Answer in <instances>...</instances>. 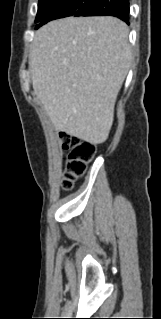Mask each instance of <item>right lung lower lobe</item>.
Masks as SVG:
<instances>
[{"instance_id": "98d812e1", "label": "right lung lower lobe", "mask_w": 161, "mask_h": 319, "mask_svg": "<svg viewBox=\"0 0 161 319\" xmlns=\"http://www.w3.org/2000/svg\"><path fill=\"white\" fill-rule=\"evenodd\" d=\"M114 16L129 24V0H95L81 16Z\"/></svg>"}]
</instances>
